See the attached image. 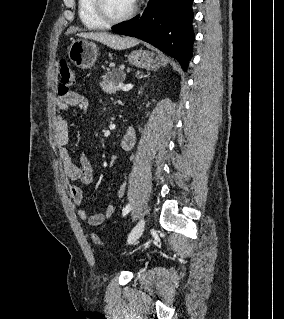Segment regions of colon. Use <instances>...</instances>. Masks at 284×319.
Segmentation results:
<instances>
[{"label": "colon", "instance_id": "1", "mask_svg": "<svg viewBox=\"0 0 284 319\" xmlns=\"http://www.w3.org/2000/svg\"><path fill=\"white\" fill-rule=\"evenodd\" d=\"M60 80L58 85V94L64 96L70 92L71 87L76 82V75L74 71L65 61H61L59 65ZM92 241L97 245H102V241L97 234L91 235Z\"/></svg>", "mask_w": 284, "mask_h": 319}]
</instances>
